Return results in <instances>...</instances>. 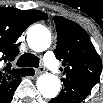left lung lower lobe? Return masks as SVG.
<instances>
[{
    "mask_svg": "<svg viewBox=\"0 0 103 103\" xmlns=\"http://www.w3.org/2000/svg\"><path fill=\"white\" fill-rule=\"evenodd\" d=\"M64 87L60 94L51 99L50 103H80L91 92L92 85L73 82L70 80L63 81Z\"/></svg>",
    "mask_w": 103,
    "mask_h": 103,
    "instance_id": "1",
    "label": "left lung lower lobe"
}]
</instances>
